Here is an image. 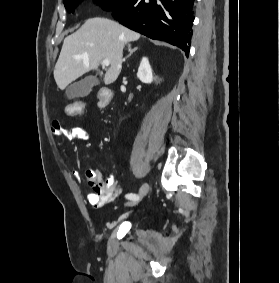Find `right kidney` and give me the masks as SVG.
Instances as JSON below:
<instances>
[{
	"label": "right kidney",
	"instance_id": "right-kidney-1",
	"mask_svg": "<svg viewBox=\"0 0 280 283\" xmlns=\"http://www.w3.org/2000/svg\"><path fill=\"white\" fill-rule=\"evenodd\" d=\"M137 77L143 83L150 84L153 82V73L148 58H142L138 68Z\"/></svg>",
	"mask_w": 280,
	"mask_h": 283
}]
</instances>
